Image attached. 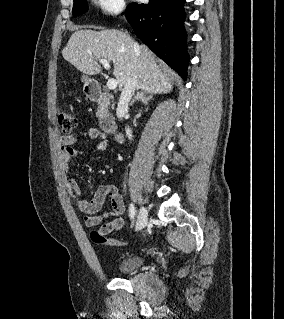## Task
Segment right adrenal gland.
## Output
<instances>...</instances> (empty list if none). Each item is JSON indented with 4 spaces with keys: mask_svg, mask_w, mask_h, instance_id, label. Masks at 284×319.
<instances>
[{
    "mask_svg": "<svg viewBox=\"0 0 284 319\" xmlns=\"http://www.w3.org/2000/svg\"><path fill=\"white\" fill-rule=\"evenodd\" d=\"M153 99V94L147 92L146 90H142L137 92V94L134 96V98L132 99L130 105H133V103L136 100H140L142 101L144 104L148 105V103Z\"/></svg>",
    "mask_w": 284,
    "mask_h": 319,
    "instance_id": "1",
    "label": "right adrenal gland"
}]
</instances>
